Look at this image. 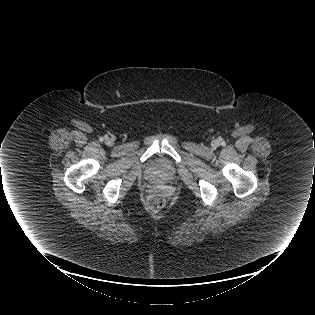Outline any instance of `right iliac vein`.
I'll use <instances>...</instances> for the list:
<instances>
[{
    "label": "right iliac vein",
    "mask_w": 315,
    "mask_h": 315,
    "mask_svg": "<svg viewBox=\"0 0 315 315\" xmlns=\"http://www.w3.org/2000/svg\"><path fill=\"white\" fill-rule=\"evenodd\" d=\"M107 142L111 144V143H112V140H107Z\"/></svg>",
    "instance_id": "right-iliac-vein-1"
}]
</instances>
